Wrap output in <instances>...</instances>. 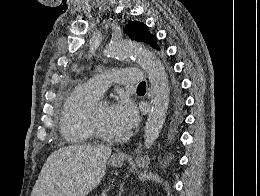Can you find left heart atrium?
<instances>
[{"mask_svg":"<svg viewBox=\"0 0 260 196\" xmlns=\"http://www.w3.org/2000/svg\"><path fill=\"white\" fill-rule=\"evenodd\" d=\"M112 122L119 133L125 134L138 121V113L134 104L123 97L110 106Z\"/></svg>","mask_w":260,"mask_h":196,"instance_id":"39dd6f15","label":"left heart atrium"}]
</instances>
